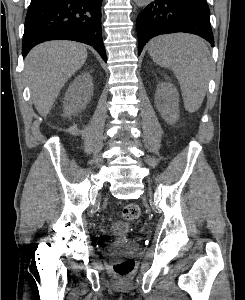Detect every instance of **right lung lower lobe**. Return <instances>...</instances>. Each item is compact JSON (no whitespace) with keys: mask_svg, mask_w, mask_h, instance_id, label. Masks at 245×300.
<instances>
[{"mask_svg":"<svg viewBox=\"0 0 245 300\" xmlns=\"http://www.w3.org/2000/svg\"><path fill=\"white\" fill-rule=\"evenodd\" d=\"M102 0H34L28 8L23 35L24 56L35 45L55 39L88 45L107 60L101 34Z\"/></svg>","mask_w":245,"mask_h":300,"instance_id":"98d812e1","label":"right lung lower lobe"}]
</instances>
